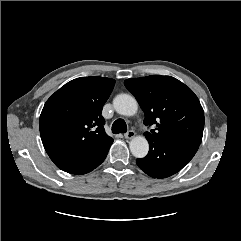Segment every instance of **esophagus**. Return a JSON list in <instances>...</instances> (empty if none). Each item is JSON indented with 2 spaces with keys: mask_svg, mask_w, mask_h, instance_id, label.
Listing matches in <instances>:
<instances>
[{
  "mask_svg": "<svg viewBox=\"0 0 241 241\" xmlns=\"http://www.w3.org/2000/svg\"><path fill=\"white\" fill-rule=\"evenodd\" d=\"M124 136L126 139H132L135 137V132L133 130H129Z\"/></svg>",
  "mask_w": 241,
  "mask_h": 241,
  "instance_id": "esophagus-1",
  "label": "esophagus"
}]
</instances>
